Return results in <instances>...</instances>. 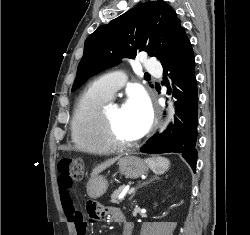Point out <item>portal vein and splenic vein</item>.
<instances>
[{
    "label": "portal vein and splenic vein",
    "instance_id": "1",
    "mask_svg": "<svg viewBox=\"0 0 250 235\" xmlns=\"http://www.w3.org/2000/svg\"><path fill=\"white\" fill-rule=\"evenodd\" d=\"M134 191H135V188H131L129 191H128V194H132V193H134ZM123 194H121V195H119V199H122L123 198Z\"/></svg>",
    "mask_w": 250,
    "mask_h": 235
}]
</instances>
